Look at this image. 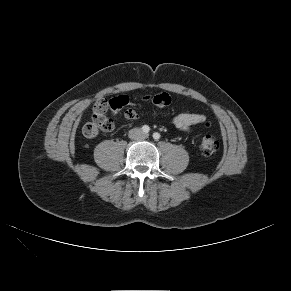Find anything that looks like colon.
<instances>
[{"mask_svg": "<svg viewBox=\"0 0 291 291\" xmlns=\"http://www.w3.org/2000/svg\"><path fill=\"white\" fill-rule=\"evenodd\" d=\"M171 103V98L166 93L147 94L143 98L132 96L126 93L117 96L110 100V106L115 113L120 112L123 107L129 104H140L148 106L166 107ZM113 129V122L105 114H94L92 121L88 122L83 127V135L86 138H95L99 132H108ZM219 143L217 139L211 135L206 134L200 142V151L205 156H211L217 152Z\"/></svg>", "mask_w": 291, "mask_h": 291, "instance_id": "colon-1", "label": "colon"}]
</instances>
